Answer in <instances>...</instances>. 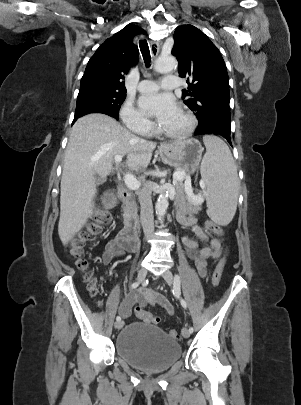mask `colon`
<instances>
[{
    "mask_svg": "<svg viewBox=\"0 0 301 405\" xmlns=\"http://www.w3.org/2000/svg\"><path fill=\"white\" fill-rule=\"evenodd\" d=\"M110 221L111 216L107 211L105 210L94 211L90 216L89 221L86 223L83 231L78 235L77 238L72 240V242L70 243L68 250L69 254L75 258L76 265L80 270L85 271L87 270L88 267V263L86 259L83 257L84 253L83 247L86 241L89 240L90 238L99 236L102 233L104 227L107 226L110 223ZM205 228L211 233L217 235L223 234L222 228L212 221H207L205 223ZM224 265H225V258L223 257L216 264L212 274V284L214 286H218L221 281ZM87 282L91 294L96 295L97 288L95 280L90 275H88ZM135 313L137 317H139L141 320L147 323L157 324L160 321V318L157 315L148 312L141 307H136ZM168 334L173 339L177 340L180 339V333L175 329L169 330Z\"/></svg>",
    "mask_w": 301,
    "mask_h": 405,
    "instance_id": "1",
    "label": "colon"
}]
</instances>
